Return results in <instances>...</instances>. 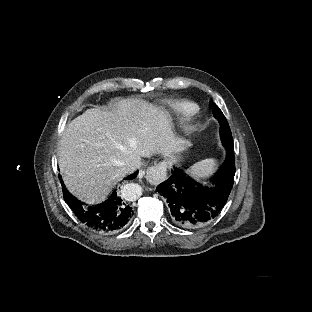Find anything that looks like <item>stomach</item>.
Wrapping results in <instances>:
<instances>
[{"label": "stomach", "mask_w": 312, "mask_h": 312, "mask_svg": "<svg viewBox=\"0 0 312 312\" xmlns=\"http://www.w3.org/2000/svg\"><path fill=\"white\" fill-rule=\"evenodd\" d=\"M173 160H175V158H173ZM173 160L168 161V162H167V163H165V164H166V165H170V164H171V162H172ZM176 162H178V161L176 160Z\"/></svg>", "instance_id": "1"}]
</instances>
